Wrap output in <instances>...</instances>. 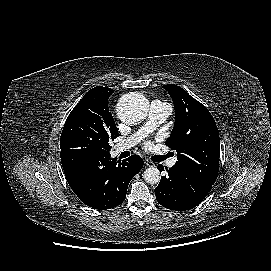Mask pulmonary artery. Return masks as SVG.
<instances>
[{
  "mask_svg": "<svg viewBox=\"0 0 271 271\" xmlns=\"http://www.w3.org/2000/svg\"><path fill=\"white\" fill-rule=\"evenodd\" d=\"M172 111L171 105L155 100L150 105V111L148 116V121L140 130L130 135L124 141L118 143L115 146V153H120L127 149L132 148L137 143H139L150 131L155 129L158 125L166 120ZM177 159L172 158L168 161V166L172 167L175 165Z\"/></svg>",
  "mask_w": 271,
  "mask_h": 271,
  "instance_id": "obj_1",
  "label": "pulmonary artery"
}]
</instances>
